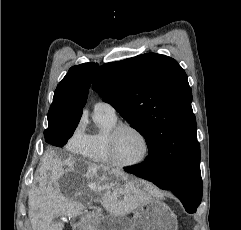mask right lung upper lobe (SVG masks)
I'll list each match as a JSON object with an SVG mask.
<instances>
[{"instance_id":"right-lung-upper-lobe-1","label":"right lung upper lobe","mask_w":241,"mask_h":230,"mask_svg":"<svg viewBox=\"0 0 241 230\" xmlns=\"http://www.w3.org/2000/svg\"><path fill=\"white\" fill-rule=\"evenodd\" d=\"M98 64L84 63L73 66L58 84L48 112V122H79Z\"/></svg>"}]
</instances>
